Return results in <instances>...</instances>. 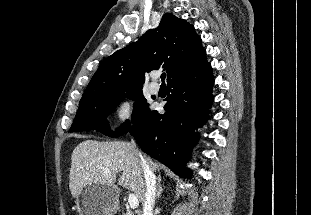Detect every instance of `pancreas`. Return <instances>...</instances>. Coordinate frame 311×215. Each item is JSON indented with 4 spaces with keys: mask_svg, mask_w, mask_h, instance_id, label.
<instances>
[{
    "mask_svg": "<svg viewBox=\"0 0 311 215\" xmlns=\"http://www.w3.org/2000/svg\"><path fill=\"white\" fill-rule=\"evenodd\" d=\"M124 215H133L131 211H127Z\"/></svg>",
    "mask_w": 311,
    "mask_h": 215,
    "instance_id": "obj_1",
    "label": "pancreas"
}]
</instances>
